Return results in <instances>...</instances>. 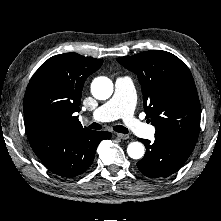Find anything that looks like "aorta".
<instances>
[{
  "instance_id": "1",
  "label": "aorta",
  "mask_w": 221,
  "mask_h": 221,
  "mask_svg": "<svg viewBox=\"0 0 221 221\" xmlns=\"http://www.w3.org/2000/svg\"><path fill=\"white\" fill-rule=\"evenodd\" d=\"M91 93L98 100H106L113 93V83L107 77H97L91 84ZM129 157L141 159L144 156L145 148L140 142H131L127 147Z\"/></svg>"
}]
</instances>
